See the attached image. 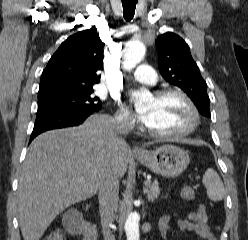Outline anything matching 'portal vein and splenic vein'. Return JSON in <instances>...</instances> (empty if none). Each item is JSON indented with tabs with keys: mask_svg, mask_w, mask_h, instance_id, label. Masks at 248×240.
<instances>
[{
	"mask_svg": "<svg viewBox=\"0 0 248 240\" xmlns=\"http://www.w3.org/2000/svg\"><path fill=\"white\" fill-rule=\"evenodd\" d=\"M149 181H145V184H147Z\"/></svg>",
	"mask_w": 248,
	"mask_h": 240,
	"instance_id": "18ae733b",
	"label": "portal vein and splenic vein"
}]
</instances>
